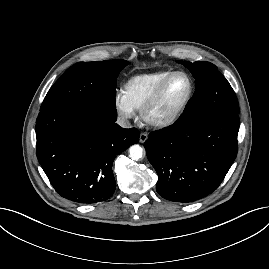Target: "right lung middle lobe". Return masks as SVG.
<instances>
[{"label":"right lung middle lobe","instance_id":"1","mask_svg":"<svg viewBox=\"0 0 269 269\" xmlns=\"http://www.w3.org/2000/svg\"><path fill=\"white\" fill-rule=\"evenodd\" d=\"M128 64V61L122 59L74 64L50 88L40 111L69 105L115 120L117 77Z\"/></svg>","mask_w":269,"mask_h":269}]
</instances>
